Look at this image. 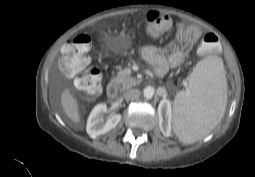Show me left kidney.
Listing matches in <instances>:
<instances>
[{"mask_svg":"<svg viewBox=\"0 0 255 177\" xmlns=\"http://www.w3.org/2000/svg\"><path fill=\"white\" fill-rule=\"evenodd\" d=\"M158 114L160 117L161 125L166 133L170 134L171 131V117H172V108L169 100H162L158 107ZM163 115L165 118L163 119Z\"/></svg>","mask_w":255,"mask_h":177,"instance_id":"1","label":"left kidney"}]
</instances>
